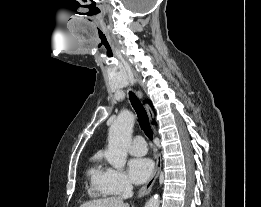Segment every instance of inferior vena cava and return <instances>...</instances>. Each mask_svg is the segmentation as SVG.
Here are the masks:
<instances>
[{
  "instance_id": "602c4592",
  "label": "inferior vena cava",
  "mask_w": 261,
  "mask_h": 207,
  "mask_svg": "<svg viewBox=\"0 0 261 207\" xmlns=\"http://www.w3.org/2000/svg\"><path fill=\"white\" fill-rule=\"evenodd\" d=\"M133 196V186L130 182H125L124 184V191L122 194V199L131 198Z\"/></svg>"
}]
</instances>
